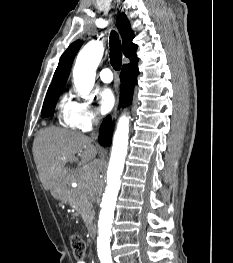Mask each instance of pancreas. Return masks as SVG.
Returning a JSON list of instances; mask_svg holds the SVG:
<instances>
[{"mask_svg":"<svg viewBox=\"0 0 233 263\" xmlns=\"http://www.w3.org/2000/svg\"><path fill=\"white\" fill-rule=\"evenodd\" d=\"M67 201L79 214H81L86 225L92 222L94 211L89 194L81 192L80 188H72L68 192Z\"/></svg>","mask_w":233,"mask_h":263,"instance_id":"obj_1","label":"pancreas"}]
</instances>
